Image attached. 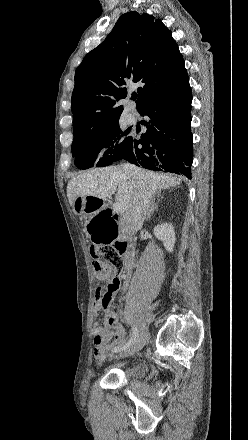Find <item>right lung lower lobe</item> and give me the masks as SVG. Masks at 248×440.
<instances>
[{
    "instance_id": "1",
    "label": "right lung lower lobe",
    "mask_w": 248,
    "mask_h": 440,
    "mask_svg": "<svg viewBox=\"0 0 248 440\" xmlns=\"http://www.w3.org/2000/svg\"><path fill=\"white\" fill-rule=\"evenodd\" d=\"M191 101L189 78L144 101L137 110L146 117L142 124L147 131L140 138L131 137L121 159L139 167L183 174L191 179Z\"/></svg>"
}]
</instances>
